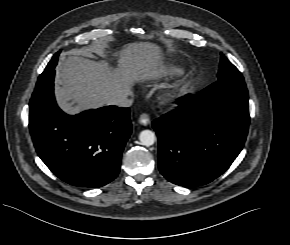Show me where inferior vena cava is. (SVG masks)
I'll use <instances>...</instances> for the list:
<instances>
[{
    "mask_svg": "<svg viewBox=\"0 0 290 245\" xmlns=\"http://www.w3.org/2000/svg\"><path fill=\"white\" fill-rule=\"evenodd\" d=\"M128 96H131L130 92L113 97L110 100V104L118 107H130L133 103V99L128 98Z\"/></svg>",
    "mask_w": 290,
    "mask_h": 245,
    "instance_id": "1",
    "label": "inferior vena cava"
}]
</instances>
